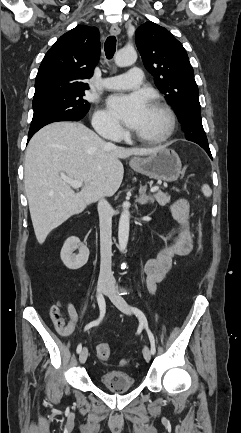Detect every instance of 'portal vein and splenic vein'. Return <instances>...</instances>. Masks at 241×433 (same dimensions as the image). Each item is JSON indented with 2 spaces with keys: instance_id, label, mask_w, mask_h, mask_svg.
I'll use <instances>...</instances> for the list:
<instances>
[{
  "instance_id": "1",
  "label": "portal vein and splenic vein",
  "mask_w": 241,
  "mask_h": 433,
  "mask_svg": "<svg viewBox=\"0 0 241 433\" xmlns=\"http://www.w3.org/2000/svg\"><path fill=\"white\" fill-rule=\"evenodd\" d=\"M62 179L67 182L72 188L74 189H78L81 188L83 186V182L79 181V180H74L71 178H68L66 176H62ZM159 190L158 186H154L150 189L151 192H157Z\"/></svg>"
}]
</instances>
